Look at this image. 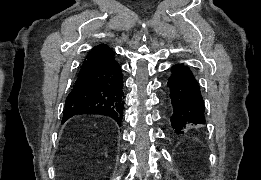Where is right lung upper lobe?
<instances>
[{
  "mask_svg": "<svg viewBox=\"0 0 261 180\" xmlns=\"http://www.w3.org/2000/svg\"><path fill=\"white\" fill-rule=\"evenodd\" d=\"M113 61H115L114 52L111 48H109L106 44L95 46L89 51L88 55L84 59L79 73L91 67L111 63Z\"/></svg>",
  "mask_w": 261,
  "mask_h": 180,
  "instance_id": "obj_1",
  "label": "right lung upper lobe"
}]
</instances>
